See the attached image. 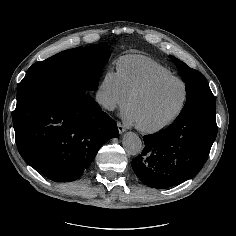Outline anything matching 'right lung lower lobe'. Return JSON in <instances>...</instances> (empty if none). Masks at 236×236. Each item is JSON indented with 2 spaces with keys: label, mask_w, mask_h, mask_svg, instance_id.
Listing matches in <instances>:
<instances>
[{
  "label": "right lung lower lobe",
  "mask_w": 236,
  "mask_h": 236,
  "mask_svg": "<svg viewBox=\"0 0 236 236\" xmlns=\"http://www.w3.org/2000/svg\"><path fill=\"white\" fill-rule=\"evenodd\" d=\"M23 159L57 182L78 179L99 148L119 132L116 122L80 87L32 95L13 114Z\"/></svg>",
  "instance_id": "right-lung-lower-lobe-1"
}]
</instances>
